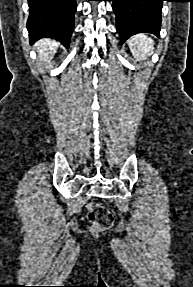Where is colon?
<instances>
[{
    "label": "colon",
    "instance_id": "colon-1",
    "mask_svg": "<svg viewBox=\"0 0 193 287\" xmlns=\"http://www.w3.org/2000/svg\"><path fill=\"white\" fill-rule=\"evenodd\" d=\"M88 219L95 231L108 229L114 221L111 211L105 206L96 203L89 204Z\"/></svg>",
    "mask_w": 193,
    "mask_h": 287
}]
</instances>
